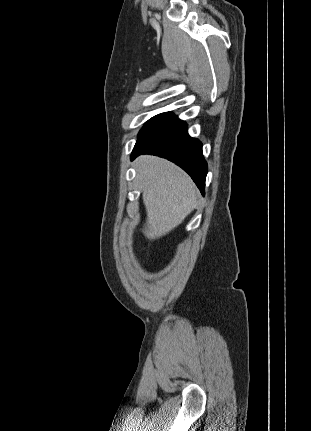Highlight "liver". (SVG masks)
Listing matches in <instances>:
<instances>
[{
    "label": "liver",
    "instance_id": "6515ba94",
    "mask_svg": "<svg viewBox=\"0 0 311 431\" xmlns=\"http://www.w3.org/2000/svg\"><path fill=\"white\" fill-rule=\"evenodd\" d=\"M147 217L143 233L148 239L166 235L197 208V188L175 164L141 156L135 162Z\"/></svg>",
    "mask_w": 311,
    "mask_h": 431
}]
</instances>
